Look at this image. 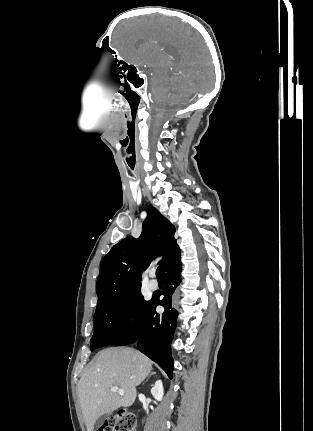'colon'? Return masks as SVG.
I'll list each match as a JSON object with an SVG mask.
<instances>
[{
    "label": "colon",
    "instance_id": "1",
    "mask_svg": "<svg viewBox=\"0 0 313 431\" xmlns=\"http://www.w3.org/2000/svg\"><path fill=\"white\" fill-rule=\"evenodd\" d=\"M98 431H136V416L127 409L119 410Z\"/></svg>",
    "mask_w": 313,
    "mask_h": 431
}]
</instances>
